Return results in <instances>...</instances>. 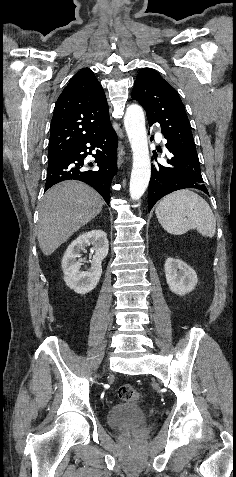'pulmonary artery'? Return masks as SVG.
I'll return each instance as SVG.
<instances>
[{
  "instance_id": "1",
  "label": "pulmonary artery",
  "mask_w": 236,
  "mask_h": 477,
  "mask_svg": "<svg viewBox=\"0 0 236 477\" xmlns=\"http://www.w3.org/2000/svg\"><path fill=\"white\" fill-rule=\"evenodd\" d=\"M157 138H158V140L163 141L162 136L158 135Z\"/></svg>"
}]
</instances>
